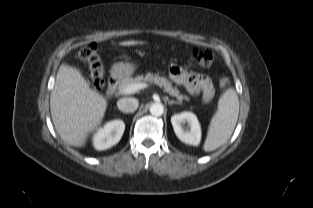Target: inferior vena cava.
<instances>
[{"label": "inferior vena cava", "instance_id": "1", "mask_svg": "<svg viewBox=\"0 0 313 208\" xmlns=\"http://www.w3.org/2000/svg\"><path fill=\"white\" fill-rule=\"evenodd\" d=\"M138 100L136 98H121L117 101V107L124 113H132L138 108Z\"/></svg>", "mask_w": 313, "mask_h": 208}]
</instances>
